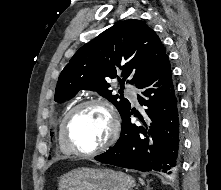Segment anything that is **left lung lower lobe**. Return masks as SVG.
<instances>
[{"instance_id": "obj_1", "label": "left lung lower lobe", "mask_w": 221, "mask_h": 190, "mask_svg": "<svg viewBox=\"0 0 221 190\" xmlns=\"http://www.w3.org/2000/svg\"><path fill=\"white\" fill-rule=\"evenodd\" d=\"M141 91L138 100L144 110L130 109L122 117V129L117 143L95 159L99 162L135 169L176 174L180 168L182 141L178 99L168 56L136 86ZM137 116L141 125L131 123Z\"/></svg>"}]
</instances>
